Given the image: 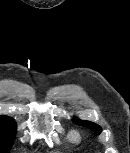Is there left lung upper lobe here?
Here are the masks:
<instances>
[{"instance_id":"1","label":"left lung upper lobe","mask_w":130,"mask_h":153,"mask_svg":"<svg viewBox=\"0 0 130 153\" xmlns=\"http://www.w3.org/2000/svg\"><path fill=\"white\" fill-rule=\"evenodd\" d=\"M74 122H76V124L87 127L91 130H93L96 134H100L102 129L99 125H97L96 123H93L91 121H86V120H80L78 118L73 119Z\"/></svg>"}]
</instances>
